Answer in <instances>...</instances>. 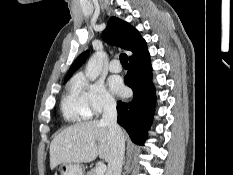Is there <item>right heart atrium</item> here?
I'll list each match as a JSON object with an SVG mask.
<instances>
[{"label":"right heart atrium","mask_w":233,"mask_h":175,"mask_svg":"<svg viewBox=\"0 0 233 175\" xmlns=\"http://www.w3.org/2000/svg\"><path fill=\"white\" fill-rule=\"evenodd\" d=\"M73 81L89 106L92 115L98 116L116 108L115 97L102 82L90 81L85 76H79Z\"/></svg>","instance_id":"1"}]
</instances>
